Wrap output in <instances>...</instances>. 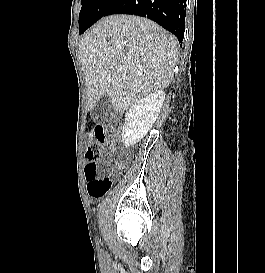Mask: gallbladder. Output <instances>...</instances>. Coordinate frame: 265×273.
Here are the masks:
<instances>
[{"instance_id":"1","label":"gallbladder","mask_w":265,"mask_h":273,"mask_svg":"<svg viewBox=\"0 0 265 273\" xmlns=\"http://www.w3.org/2000/svg\"><path fill=\"white\" fill-rule=\"evenodd\" d=\"M91 115L96 123H108L116 117L117 111L112 107L110 99L103 96L92 109Z\"/></svg>"}]
</instances>
